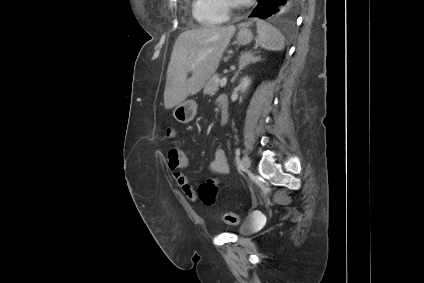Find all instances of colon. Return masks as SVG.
Instances as JSON below:
<instances>
[{
    "instance_id": "colon-1",
    "label": "colon",
    "mask_w": 424,
    "mask_h": 283,
    "mask_svg": "<svg viewBox=\"0 0 424 283\" xmlns=\"http://www.w3.org/2000/svg\"><path fill=\"white\" fill-rule=\"evenodd\" d=\"M168 137H172L174 132L169 129L167 132ZM168 163L172 169H177L185 163V153L176 146H172L168 151ZM218 186L215 179H208L204 183L200 184L198 189V195L200 200L206 205H212L215 202L217 196ZM222 220L230 225H236L239 223V216L234 212H223L221 214Z\"/></svg>"
}]
</instances>
